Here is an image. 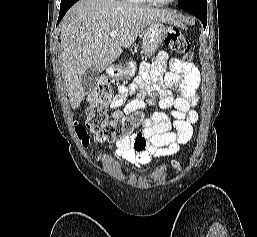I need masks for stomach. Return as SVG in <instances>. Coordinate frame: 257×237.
Listing matches in <instances>:
<instances>
[{"label": "stomach", "mask_w": 257, "mask_h": 237, "mask_svg": "<svg viewBox=\"0 0 257 237\" xmlns=\"http://www.w3.org/2000/svg\"><path fill=\"white\" fill-rule=\"evenodd\" d=\"M168 28L163 21H153L148 24L142 34V51L146 57L153 55L163 40L167 36ZM135 73L132 63H127L126 67L120 69V75L131 77Z\"/></svg>", "instance_id": "stomach-1"}]
</instances>
